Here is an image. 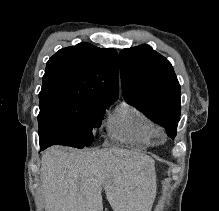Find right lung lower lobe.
<instances>
[{"instance_id": "right-lung-lower-lobe-1", "label": "right lung lower lobe", "mask_w": 219, "mask_h": 211, "mask_svg": "<svg viewBox=\"0 0 219 211\" xmlns=\"http://www.w3.org/2000/svg\"><path fill=\"white\" fill-rule=\"evenodd\" d=\"M51 145H53V144H52V143H41V142H40V148H41V150H44V149L50 147Z\"/></svg>"}]
</instances>
